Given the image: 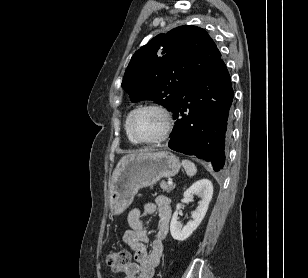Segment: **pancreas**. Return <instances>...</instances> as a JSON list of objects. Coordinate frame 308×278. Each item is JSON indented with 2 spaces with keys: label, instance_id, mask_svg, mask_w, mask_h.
Masks as SVG:
<instances>
[{
  "label": "pancreas",
  "instance_id": "pancreas-1",
  "mask_svg": "<svg viewBox=\"0 0 308 278\" xmlns=\"http://www.w3.org/2000/svg\"><path fill=\"white\" fill-rule=\"evenodd\" d=\"M160 187H161V189H162V191L163 192H167V193H169L170 191H172L174 188H175V186H173V185H168L166 182H164V181H162L161 183H160Z\"/></svg>",
  "mask_w": 308,
  "mask_h": 278
}]
</instances>
